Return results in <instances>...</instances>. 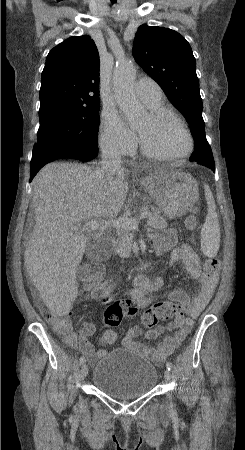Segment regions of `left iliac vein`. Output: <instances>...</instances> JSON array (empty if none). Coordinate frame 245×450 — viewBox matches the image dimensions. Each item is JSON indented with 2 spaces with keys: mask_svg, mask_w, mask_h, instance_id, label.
<instances>
[{
  "mask_svg": "<svg viewBox=\"0 0 245 450\" xmlns=\"http://www.w3.org/2000/svg\"><path fill=\"white\" fill-rule=\"evenodd\" d=\"M164 378L166 381H169L171 378L170 372L168 370H165L164 372Z\"/></svg>",
  "mask_w": 245,
  "mask_h": 450,
  "instance_id": "left-iliac-vein-1",
  "label": "left iliac vein"
}]
</instances>
